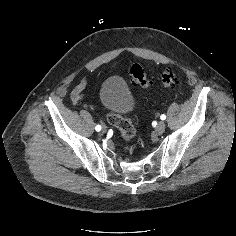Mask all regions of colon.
I'll list each match as a JSON object with an SVG mask.
<instances>
[{"mask_svg":"<svg viewBox=\"0 0 236 236\" xmlns=\"http://www.w3.org/2000/svg\"><path fill=\"white\" fill-rule=\"evenodd\" d=\"M128 73L136 85L143 88L150 87L151 81L141 65H132ZM161 82L165 88H175L178 85V78L170 68H166L161 74ZM107 120L110 125L120 132L125 141H130L134 137L136 132L135 127L129 120L114 112H110L107 115Z\"/></svg>","mask_w":236,"mask_h":236,"instance_id":"colon-1","label":"colon"}]
</instances>
